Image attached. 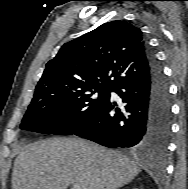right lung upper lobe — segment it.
Masks as SVG:
<instances>
[{
  "mask_svg": "<svg viewBox=\"0 0 188 189\" xmlns=\"http://www.w3.org/2000/svg\"><path fill=\"white\" fill-rule=\"evenodd\" d=\"M148 45L142 31L116 20L68 43L46 64L35 94L114 87L148 74Z\"/></svg>",
  "mask_w": 188,
  "mask_h": 189,
  "instance_id": "1",
  "label": "right lung upper lobe"
}]
</instances>
